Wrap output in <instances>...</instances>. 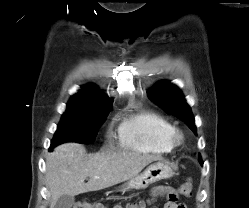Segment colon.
I'll return each mask as SVG.
<instances>
[{
	"mask_svg": "<svg viewBox=\"0 0 249 208\" xmlns=\"http://www.w3.org/2000/svg\"><path fill=\"white\" fill-rule=\"evenodd\" d=\"M178 192L180 195L189 196L192 192L191 180L189 179L185 183H183L180 186ZM73 208H107V207L101 203H90L86 201H81L75 204ZM113 208H123V207L121 205H115ZM125 208H145V204L143 202L130 203V204H127ZM183 208H185L184 205H183Z\"/></svg>",
	"mask_w": 249,
	"mask_h": 208,
	"instance_id": "obj_1",
	"label": "colon"
}]
</instances>
